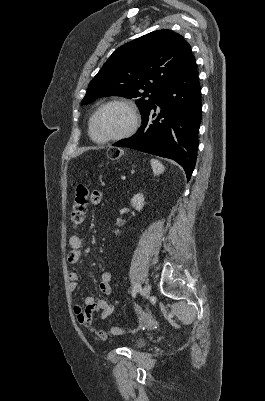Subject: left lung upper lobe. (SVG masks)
<instances>
[{
    "label": "left lung upper lobe",
    "mask_w": 265,
    "mask_h": 401,
    "mask_svg": "<svg viewBox=\"0 0 265 401\" xmlns=\"http://www.w3.org/2000/svg\"><path fill=\"white\" fill-rule=\"evenodd\" d=\"M192 56L190 45L171 30L146 34L109 57L90 82L81 105L111 95L137 98L135 102L144 115Z\"/></svg>",
    "instance_id": "5c2ea615"
}]
</instances>
